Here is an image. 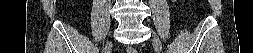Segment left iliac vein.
I'll return each instance as SVG.
<instances>
[{"instance_id": "4c4485c4", "label": "left iliac vein", "mask_w": 253, "mask_h": 53, "mask_svg": "<svg viewBox=\"0 0 253 53\" xmlns=\"http://www.w3.org/2000/svg\"><path fill=\"white\" fill-rule=\"evenodd\" d=\"M153 44H154V46L156 47V49L158 51L162 50V44H161L159 38L155 35L154 32H153Z\"/></svg>"}]
</instances>
